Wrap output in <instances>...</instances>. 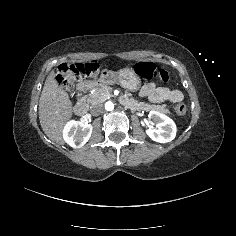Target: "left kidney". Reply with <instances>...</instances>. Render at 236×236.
<instances>
[{
	"label": "left kidney",
	"mask_w": 236,
	"mask_h": 236,
	"mask_svg": "<svg viewBox=\"0 0 236 236\" xmlns=\"http://www.w3.org/2000/svg\"><path fill=\"white\" fill-rule=\"evenodd\" d=\"M148 118L157 127V129L150 127L144 130L151 140L157 143H168L174 139L176 125L171 118L154 110L149 112Z\"/></svg>",
	"instance_id": "obj_1"
}]
</instances>
